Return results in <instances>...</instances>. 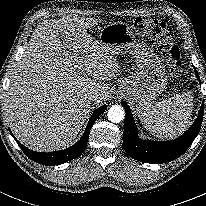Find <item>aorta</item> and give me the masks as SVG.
<instances>
[{
    "label": "aorta",
    "instance_id": "762f6f07",
    "mask_svg": "<svg viewBox=\"0 0 206 206\" xmlns=\"http://www.w3.org/2000/svg\"><path fill=\"white\" fill-rule=\"evenodd\" d=\"M108 119L113 123H119L124 119L125 112L122 106L113 105L108 110Z\"/></svg>",
    "mask_w": 206,
    "mask_h": 206
}]
</instances>
